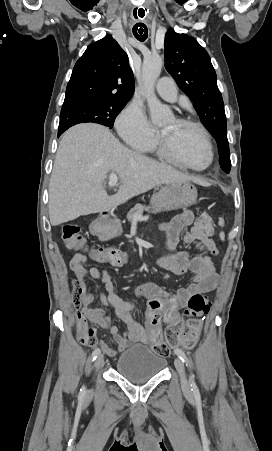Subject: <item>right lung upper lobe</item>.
Wrapping results in <instances>:
<instances>
[{"label":"right lung upper lobe","mask_w":272,"mask_h":451,"mask_svg":"<svg viewBox=\"0 0 272 451\" xmlns=\"http://www.w3.org/2000/svg\"><path fill=\"white\" fill-rule=\"evenodd\" d=\"M134 77L128 56L112 38L90 44L76 62L64 101L84 97L130 100Z\"/></svg>","instance_id":"1"}]
</instances>
